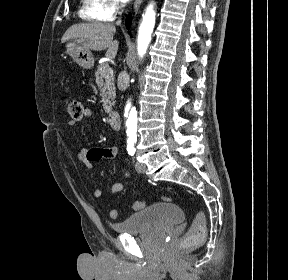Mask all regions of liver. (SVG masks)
<instances>
[{
    "mask_svg": "<svg viewBox=\"0 0 288 280\" xmlns=\"http://www.w3.org/2000/svg\"><path fill=\"white\" fill-rule=\"evenodd\" d=\"M115 32L116 28L112 24L79 23L67 29L62 37V42L71 39L94 51L107 49L106 57L115 58L119 45L117 40L113 41Z\"/></svg>",
    "mask_w": 288,
    "mask_h": 280,
    "instance_id": "obj_1",
    "label": "liver"
}]
</instances>
